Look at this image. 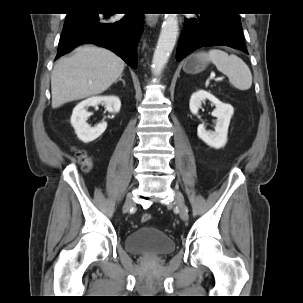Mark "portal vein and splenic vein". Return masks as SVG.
Wrapping results in <instances>:
<instances>
[{"mask_svg":"<svg viewBox=\"0 0 303 303\" xmlns=\"http://www.w3.org/2000/svg\"><path fill=\"white\" fill-rule=\"evenodd\" d=\"M214 77H215V74L212 73L211 76H210V78L213 79ZM223 79H224V77H219V78H216L215 80H216V81H221V80H223Z\"/></svg>","mask_w":303,"mask_h":303,"instance_id":"1","label":"portal vein and splenic vein"}]
</instances>
